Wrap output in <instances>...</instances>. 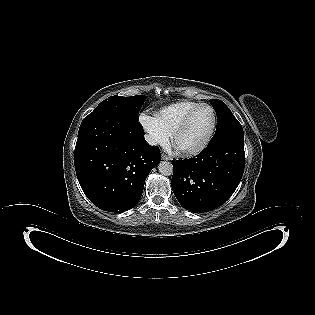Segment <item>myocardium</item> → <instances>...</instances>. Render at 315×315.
<instances>
[{"label":"myocardium","instance_id":"1","mask_svg":"<svg viewBox=\"0 0 315 315\" xmlns=\"http://www.w3.org/2000/svg\"><path fill=\"white\" fill-rule=\"evenodd\" d=\"M202 107H207L210 109L211 113H212V125L211 128L207 134V136L205 137V139L195 148L191 149V150H186V151H182L179 150L178 153L183 155V156H195L197 154H199L200 152H202L210 143L215 129H216V125H217V115H216V111L214 109V107L208 103H199L197 104L194 108H192L186 115L185 117L180 121V123L177 125V127L174 129V131L171 134V139L173 144L175 143L176 138L184 132V130L187 128L190 120L192 119V117L194 116V114Z\"/></svg>","mask_w":315,"mask_h":315}]
</instances>
